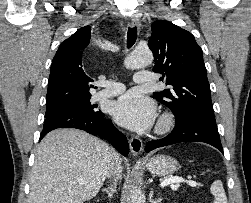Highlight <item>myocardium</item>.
<instances>
[{
	"label": "myocardium",
	"instance_id": "f54148a6",
	"mask_svg": "<svg viewBox=\"0 0 251 203\" xmlns=\"http://www.w3.org/2000/svg\"><path fill=\"white\" fill-rule=\"evenodd\" d=\"M174 125V117L171 113H163L156 124L155 132L157 134H164L169 132Z\"/></svg>",
	"mask_w": 251,
	"mask_h": 203
}]
</instances>
